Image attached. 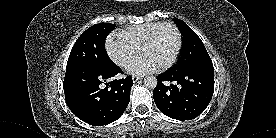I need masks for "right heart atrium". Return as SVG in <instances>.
<instances>
[{"label":"right heart atrium","instance_id":"obj_1","mask_svg":"<svg viewBox=\"0 0 276 138\" xmlns=\"http://www.w3.org/2000/svg\"><path fill=\"white\" fill-rule=\"evenodd\" d=\"M106 51L114 63L120 67H126L137 56L139 49L117 34L107 38Z\"/></svg>","mask_w":276,"mask_h":138}]
</instances>
